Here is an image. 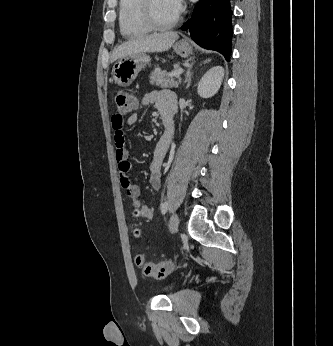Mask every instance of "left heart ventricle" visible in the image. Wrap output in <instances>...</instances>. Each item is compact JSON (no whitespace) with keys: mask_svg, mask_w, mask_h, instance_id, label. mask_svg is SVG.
Instances as JSON below:
<instances>
[{"mask_svg":"<svg viewBox=\"0 0 333 346\" xmlns=\"http://www.w3.org/2000/svg\"><path fill=\"white\" fill-rule=\"evenodd\" d=\"M153 14L160 22L169 21L177 12L168 0H153Z\"/></svg>","mask_w":333,"mask_h":346,"instance_id":"left-heart-ventricle-1","label":"left heart ventricle"}]
</instances>
